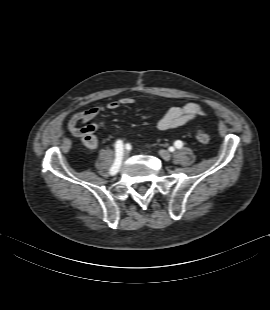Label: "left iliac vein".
<instances>
[{"mask_svg":"<svg viewBox=\"0 0 270 310\" xmlns=\"http://www.w3.org/2000/svg\"><path fill=\"white\" fill-rule=\"evenodd\" d=\"M159 154L165 161H169L171 159V154L166 150H160Z\"/></svg>","mask_w":270,"mask_h":310,"instance_id":"left-iliac-vein-1","label":"left iliac vein"}]
</instances>
